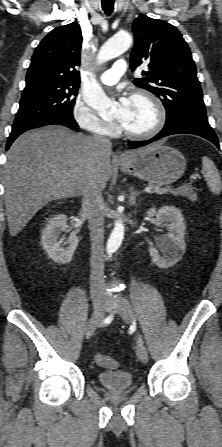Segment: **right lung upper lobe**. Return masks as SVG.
I'll return each instance as SVG.
<instances>
[{
    "label": "right lung upper lobe",
    "instance_id": "right-lung-upper-lobe-1",
    "mask_svg": "<svg viewBox=\"0 0 222 447\" xmlns=\"http://www.w3.org/2000/svg\"><path fill=\"white\" fill-rule=\"evenodd\" d=\"M82 34L76 22L52 30L37 46L31 58L26 87L42 85L79 86Z\"/></svg>",
    "mask_w": 222,
    "mask_h": 447
}]
</instances>
